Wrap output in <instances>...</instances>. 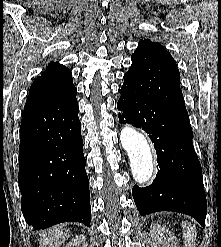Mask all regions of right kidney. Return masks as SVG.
<instances>
[{
    "mask_svg": "<svg viewBox=\"0 0 221 247\" xmlns=\"http://www.w3.org/2000/svg\"><path fill=\"white\" fill-rule=\"evenodd\" d=\"M86 237L84 234L75 236L71 241H69L64 247H86Z\"/></svg>",
    "mask_w": 221,
    "mask_h": 247,
    "instance_id": "1",
    "label": "right kidney"
}]
</instances>
